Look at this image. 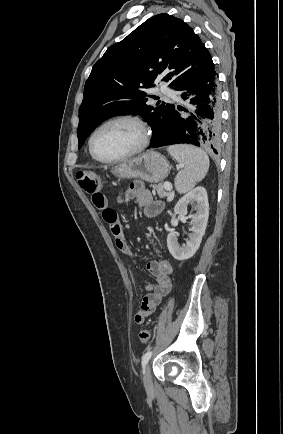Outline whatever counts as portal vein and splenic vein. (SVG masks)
<instances>
[{"label":"portal vein and splenic vein","mask_w":283,"mask_h":434,"mask_svg":"<svg viewBox=\"0 0 283 434\" xmlns=\"http://www.w3.org/2000/svg\"><path fill=\"white\" fill-rule=\"evenodd\" d=\"M164 187L166 190L170 191L172 189V184L170 182H165Z\"/></svg>","instance_id":"obj_1"}]
</instances>
